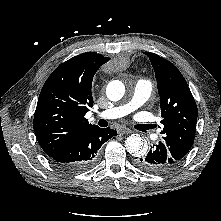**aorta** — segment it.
Listing matches in <instances>:
<instances>
[{"mask_svg":"<svg viewBox=\"0 0 221 221\" xmlns=\"http://www.w3.org/2000/svg\"><path fill=\"white\" fill-rule=\"evenodd\" d=\"M125 94V86L119 80L111 81L106 88L107 98L111 101L120 100ZM126 150L135 157L143 156L147 151L146 141L138 134H132L125 141Z\"/></svg>","mask_w":221,"mask_h":221,"instance_id":"1","label":"aorta"}]
</instances>
